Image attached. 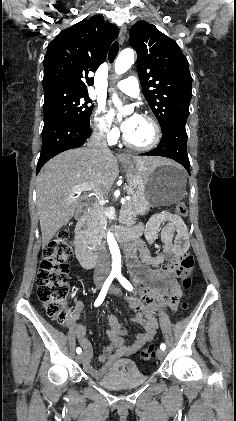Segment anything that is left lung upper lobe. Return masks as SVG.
<instances>
[{"mask_svg": "<svg viewBox=\"0 0 236 421\" xmlns=\"http://www.w3.org/2000/svg\"><path fill=\"white\" fill-rule=\"evenodd\" d=\"M130 46L137 52L143 94L162 130L174 119H187L192 77L178 44L155 26L139 21L130 31Z\"/></svg>", "mask_w": 236, "mask_h": 421, "instance_id": "5c2ea615", "label": "left lung upper lobe"}]
</instances>
